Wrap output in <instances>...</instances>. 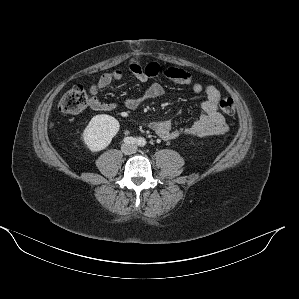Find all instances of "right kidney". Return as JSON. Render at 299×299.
I'll list each match as a JSON object with an SVG mask.
<instances>
[{"label":"right kidney","mask_w":299,"mask_h":299,"mask_svg":"<svg viewBox=\"0 0 299 299\" xmlns=\"http://www.w3.org/2000/svg\"><path fill=\"white\" fill-rule=\"evenodd\" d=\"M120 128L117 119L110 115L94 116L83 131V140L90 151L98 152L111 143Z\"/></svg>","instance_id":"1"}]
</instances>
